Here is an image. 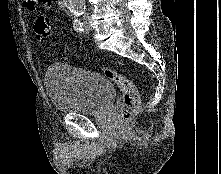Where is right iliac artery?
<instances>
[{
    "instance_id": "right-iliac-artery-1",
    "label": "right iliac artery",
    "mask_w": 221,
    "mask_h": 174,
    "mask_svg": "<svg viewBox=\"0 0 221 174\" xmlns=\"http://www.w3.org/2000/svg\"><path fill=\"white\" fill-rule=\"evenodd\" d=\"M73 27L77 32L83 31V23L80 20H74Z\"/></svg>"
}]
</instances>
